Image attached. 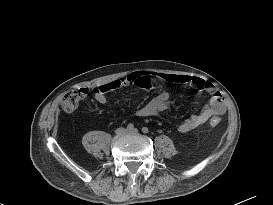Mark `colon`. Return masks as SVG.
<instances>
[{
	"mask_svg": "<svg viewBox=\"0 0 273 205\" xmlns=\"http://www.w3.org/2000/svg\"><path fill=\"white\" fill-rule=\"evenodd\" d=\"M88 96V91L84 88H76L65 92L62 95L60 104L65 112H73L79 108L81 103L85 101ZM220 124L219 118H212L210 125L217 127Z\"/></svg>",
	"mask_w": 273,
	"mask_h": 205,
	"instance_id": "obj_1",
	"label": "colon"
}]
</instances>
